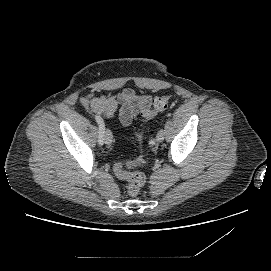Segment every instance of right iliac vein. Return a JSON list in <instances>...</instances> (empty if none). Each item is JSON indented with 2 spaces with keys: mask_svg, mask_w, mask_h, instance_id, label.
<instances>
[{
  "mask_svg": "<svg viewBox=\"0 0 271 271\" xmlns=\"http://www.w3.org/2000/svg\"><path fill=\"white\" fill-rule=\"evenodd\" d=\"M104 141L107 145H110L112 143V134L111 131L106 129L104 132Z\"/></svg>",
  "mask_w": 271,
  "mask_h": 271,
  "instance_id": "1",
  "label": "right iliac vein"
}]
</instances>
